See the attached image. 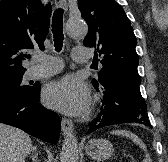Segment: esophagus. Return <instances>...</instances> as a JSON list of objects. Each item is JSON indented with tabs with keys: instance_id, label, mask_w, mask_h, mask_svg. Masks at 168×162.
Returning <instances> with one entry per match:
<instances>
[{
	"instance_id": "1",
	"label": "esophagus",
	"mask_w": 168,
	"mask_h": 162,
	"mask_svg": "<svg viewBox=\"0 0 168 162\" xmlns=\"http://www.w3.org/2000/svg\"><path fill=\"white\" fill-rule=\"evenodd\" d=\"M56 6L63 8L67 11V0H55ZM61 129L65 136L71 135L74 130L73 123L70 119H61Z\"/></svg>"
}]
</instances>
